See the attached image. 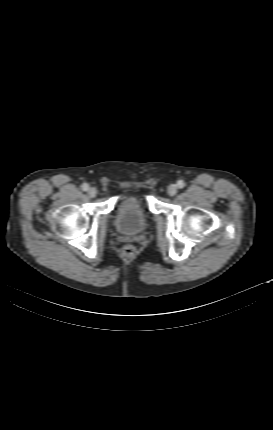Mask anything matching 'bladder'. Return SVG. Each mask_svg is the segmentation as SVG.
<instances>
[{"mask_svg": "<svg viewBox=\"0 0 273 430\" xmlns=\"http://www.w3.org/2000/svg\"><path fill=\"white\" fill-rule=\"evenodd\" d=\"M148 224V214L137 197H127L121 200L114 214L116 229L126 235L143 232Z\"/></svg>", "mask_w": 273, "mask_h": 430, "instance_id": "obj_1", "label": "bladder"}]
</instances>
